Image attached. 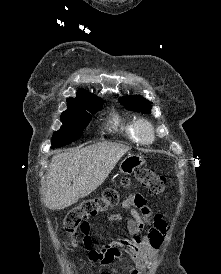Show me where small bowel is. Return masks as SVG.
Returning a JSON list of instances; mask_svg holds the SVG:
<instances>
[{"label": "small bowel", "mask_w": 221, "mask_h": 274, "mask_svg": "<svg viewBox=\"0 0 221 274\" xmlns=\"http://www.w3.org/2000/svg\"><path fill=\"white\" fill-rule=\"evenodd\" d=\"M121 206L129 212L126 236L104 242L98 246L91 236L89 222L84 220L80 226V231L83 234V246L91 262L109 265L118 260L126 267L129 274H141L161 249L168 233V221L163 215L154 213L141 194L129 195L122 201ZM109 219L119 221L122 217L120 214H113ZM146 226L149 227V230L144 233ZM123 252L131 257L132 263L126 261ZM99 274L122 273L116 268H112L101 271Z\"/></svg>", "instance_id": "obj_1"}]
</instances>
